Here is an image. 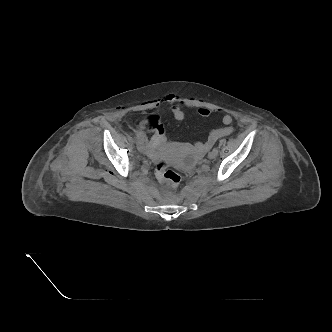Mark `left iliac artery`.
<instances>
[{"label":"left iliac artery","mask_w":332,"mask_h":332,"mask_svg":"<svg viewBox=\"0 0 332 332\" xmlns=\"http://www.w3.org/2000/svg\"><path fill=\"white\" fill-rule=\"evenodd\" d=\"M213 152H215L216 154H218V149L215 147V148L213 149Z\"/></svg>","instance_id":"obj_1"}]
</instances>
